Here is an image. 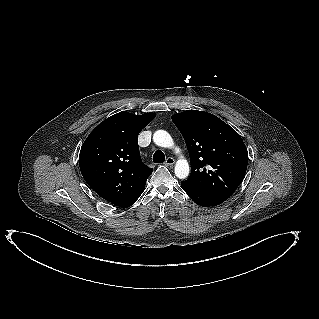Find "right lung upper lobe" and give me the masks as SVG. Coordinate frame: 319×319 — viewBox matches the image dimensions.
Instances as JSON below:
<instances>
[{"label":"right lung upper lobe","mask_w":319,"mask_h":319,"mask_svg":"<svg viewBox=\"0 0 319 319\" xmlns=\"http://www.w3.org/2000/svg\"><path fill=\"white\" fill-rule=\"evenodd\" d=\"M155 118L125 111L101 122L87 137L79 154V166L87 184L115 205L144 189L153 169L141 161L137 137Z\"/></svg>","instance_id":"right-lung-upper-lobe-1"}]
</instances>
